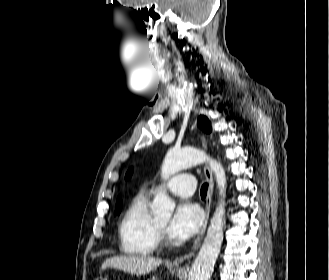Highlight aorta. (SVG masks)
<instances>
[{
  "label": "aorta",
  "mask_w": 329,
  "mask_h": 280,
  "mask_svg": "<svg viewBox=\"0 0 329 280\" xmlns=\"http://www.w3.org/2000/svg\"><path fill=\"white\" fill-rule=\"evenodd\" d=\"M205 161H208L215 174L221 200L211 219L204 242L192 264L189 280H210L220 253L223 241V225L225 224L226 174L219 162L195 148L170 149L161 168V177L167 180L171 175ZM174 208L175 203L168 197L165 190H160L155 195L151 205L152 212L158 217H171Z\"/></svg>",
  "instance_id": "obj_1"
}]
</instances>
